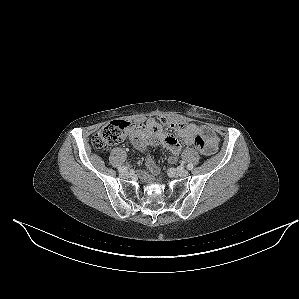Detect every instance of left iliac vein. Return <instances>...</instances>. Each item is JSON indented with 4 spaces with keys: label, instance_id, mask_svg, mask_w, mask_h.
<instances>
[{
    "label": "left iliac vein",
    "instance_id": "left-iliac-vein-1",
    "mask_svg": "<svg viewBox=\"0 0 299 299\" xmlns=\"http://www.w3.org/2000/svg\"><path fill=\"white\" fill-rule=\"evenodd\" d=\"M171 173L176 174L179 177H186L188 176L189 172L186 169H171Z\"/></svg>",
    "mask_w": 299,
    "mask_h": 299
}]
</instances>
